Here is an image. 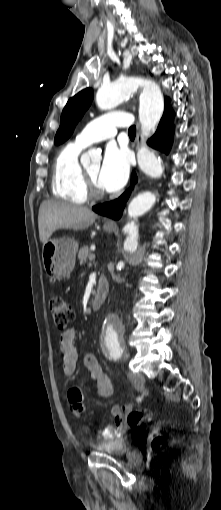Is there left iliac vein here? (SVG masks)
<instances>
[{"instance_id": "left-iliac-vein-1", "label": "left iliac vein", "mask_w": 221, "mask_h": 510, "mask_svg": "<svg viewBox=\"0 0 221 510\" xmlns=\"http://www.w3.org/2000/svg\"><path fill=\"white\" fill-rule=\"evenodd\" d=\"M125 355L124 353L123 357H125ZM128 377L137 387L142 388L144 386L145 378L143 374L129 371Z\"/></svg>"}]
</instances>
